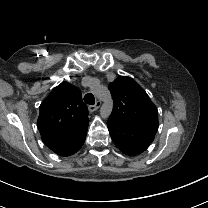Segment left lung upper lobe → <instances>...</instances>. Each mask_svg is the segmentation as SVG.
Segmentation results:
<instances>
[{
    "mask_svg": "<svg viewBox=\"0 0 208 208\" xmlns=\"http://www.w3.org/2000/svg\"><path fill=\"white\" fill-rule=\"evenodd\" d=\"M114 100L110 121L134 128L152 143L158 130V114L144 89L132 78L119 76L110 83Z\"/></svg>",
    "mask_w": 208,
    "mask_h": 208,
    "instance_id": "1",
    "label": "left lung upper lobe"
}]
</instances>
